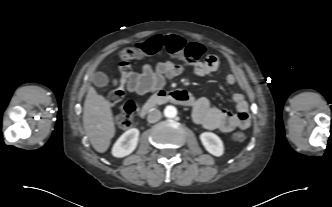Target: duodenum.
I'll use <instances>...</instances> for the list:
<instances>
[{"mask_svg": "<svg viewBox=\"0 0 332 207\" xmlns=\"http://www.w3.org/2000/svg\"><path fill=\"white\" fill-rule=\"evenodd\" d=\"M173 103L181 106H193L194 98L186 90L160 91L153 95L141 108L140 116L145 117L154 108Z\"/></svg>", "mask_w": 332, "mask_h": 207, "instance_id": "410a0bca", "label": "duodenum"}]
</instances>
